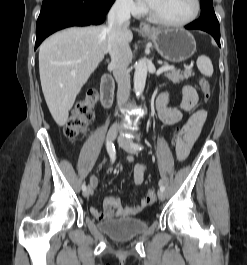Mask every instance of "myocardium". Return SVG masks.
Instances as JSON below:
<instances>
[{
  "instance_id": "f54148a6",
  "label": "myocardium",
  "mask_w": 247,
  "mask_h": 265,
  "mask_svg": "<svg viewBox=\"0 0 247 265\" xmlns=\"http://www.w3.org/2000/svg\"><path fill=\"white\" fill-rule=\"evenodd\" d=\"M194 4H195V9H194L193 14L187 19L182 20V21L167 20L161 17L160 15H158L151 7H148V14L153 21H155L156 23L162 26L171 27V28H180V27L187 26L198 19L201 13V10H202L201 0H194Z\"/></svg>"
}]
</instances>
